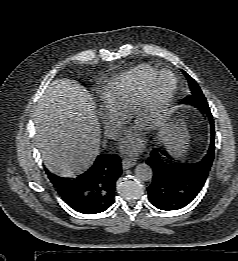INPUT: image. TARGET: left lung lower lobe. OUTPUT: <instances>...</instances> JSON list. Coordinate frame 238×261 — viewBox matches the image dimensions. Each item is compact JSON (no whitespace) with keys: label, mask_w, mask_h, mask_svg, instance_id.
Returning a JSON list of instances; mask_svg holds the SVG:
<instances>
[{"label":"left lung lower lobe","mask_w":238,"mask_h":261,"mask_svg":"<svg viewBox=\"0 0 238 261\" xmlns=\"http://www.w3.org/2000/svg\"><path fill=\"white\" fill-rule=\"evenodd\" d=\"M208 116L211 126V143L197 162L174 159L159 149L152 150L147 164L153 171L152 183L147 188L149 201L161 210H178L188 205L202 189L214 158V121L207 105L198 106Z\"/></svg>","instance_id":"left-lung-lower-lobe-1"}]
</instances>
